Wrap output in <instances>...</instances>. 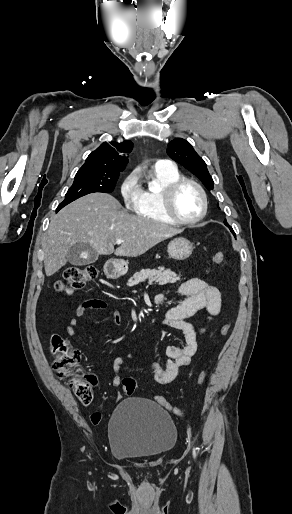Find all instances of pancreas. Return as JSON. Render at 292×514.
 Instances as JSON below:
<instances>
[{"mask_svg":"<svg viewBox=\"0 0 292 514\" xmlns=\"http://www.w3.org/2000/svg\"><path fill=\"white\" fill-rule=\"evenodd\" d=\"M148 280V284H175L177 280H180L179 276L171 270H165V268H158V270H141L137 274H133L132 278H129L127 286H136L139 282H145Z\"/></svg>","mask_w":292,"mask_h":514,"instance_id":"cf45deb5","label":"pancreas"}]
</instances>
